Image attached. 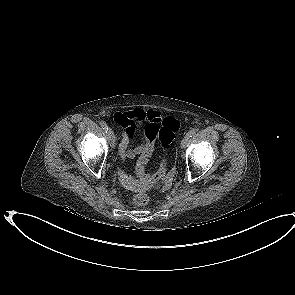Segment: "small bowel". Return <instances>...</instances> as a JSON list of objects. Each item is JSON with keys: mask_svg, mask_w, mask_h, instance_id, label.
<instances>
[{"mask_svg": "<svg viewBox=\"0 0 295 295\" xmlns=\"http://www.w3.org/2000/svg\"><path fill=\"white\" fill-rule=\"evenodd\" d=\"M113 119L124 126L123 138L119 144V152L123 159L135 158L138 155H142L144 147L149 143V138L145 136V127L151 125L152 122L161 121L160 114L155 110L145 111L143 109H135L128 112H116L113 114ZM139 126L143 128L144 140L142 143L131 147V138L134 134L135 127ZM117 179L123 183L129 189L148 190L150 183L143 180H134L126 175L124 172L117 174Z\"/></svg>", "mask_w": 295, "mask_h": 295, "instance_id": "obj_1", "label": "small bowel"}]
</instances>
